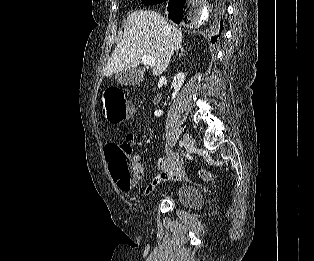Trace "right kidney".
Segmentation results:
<instances>
[{
    "label": "right kidney",
    "mask_w": 314,
    "mask_h": 261,
    "mask_svg": "<svg viewBox=\"0 0 314 261\" xmlns=\"http://www.w3.org/2000/svg\"><path fill=\"white\" fill-rule=\"evenodd\" d=\"M185 80V74L184 73H178L172 81V86L174 87V93L172 94V100H174L179 92V90L182 87V84L184 83ZM163 115V111L162 110H156L154 112V116L156 117H160Z\"/></svg>",
    "instance_id": "obj_1"
}]
</instances>
